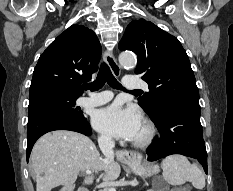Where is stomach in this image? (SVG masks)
Listing matches in <instances>:
<instances>
[{"label":"stomach","mask_w":233,"mask_h":191,"mask_svg":"<svg viewBox=\"0 0 233 191\" xmlns=\"http://www.w3.org/2000/svg\"><path fill=\"white\" fill-rule=\"evenodd\" d=\"M129 166L133 172L141 177H148L156 175L159 172V167L156 165L147 166L142 164L140 161L129 163Z\"/></svg>","instance_id":"1"}]
</instances>
